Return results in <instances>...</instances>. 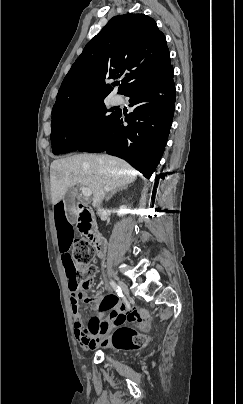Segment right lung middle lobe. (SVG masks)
<instances>
[{"instance_id": "dd1d6c3e", "label": "right lung middle lobe", "mask_w": 243, "mask_h": 404, "mask_svg": "<svg viewBox=\"0 0 243 404\" xmlns=\"http://www.w3.org/2000/svg\"><path fill=\"white\" fill-rule=\"evenodd\" d=\"M99 98L52 117L51 141L54 154L78 150L96 137L117 116V108L107 109Z\"/></svg>"}]
</instances>
